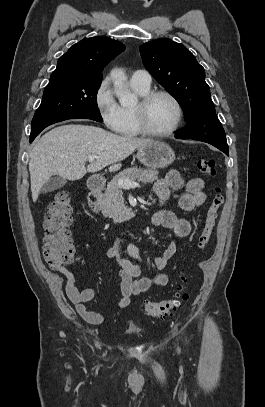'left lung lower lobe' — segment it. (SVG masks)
Returning a JSON list of instances; mask_svg holds the SVG:
<instances>
[{"instance_id":"obj_1","label":"left lung lower lobe","mask_w":265,"mask_h":407,"mask_svg":"<svg viewBox=\"0 0 265 407\" xmlns=\"http://www.w3.org/2000/svg\"><path fill=\"white\" fill-rule=\"evenodd\" d=\"M217 148L220 149L221 151H223L226 155H229V152L226 149L219 148V147H217Z\"/></svg>"}]
</instances>
